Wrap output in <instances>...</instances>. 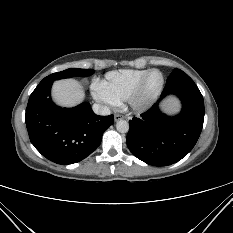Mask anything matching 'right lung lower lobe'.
<instances>
[{"label": "right lung lower lobe", "mask_w": 233, "mask_h": 233, "mask_svg": "<svg viewBox=\"0 0 233 233\" xmlns=\"http://www.w3.org/2000/svg\"><path fill=\"white\" fill-rule=\"evenodd\" d=\"M49 75L32 92L25 122L34 147L47 159L62 165L77 163L101 143L103 132L113 124V115H96L89 103L74 108L56 106L50 98L53 81Z\"/></svg>", "instance_id": "98d812e1"}]
</instances>
